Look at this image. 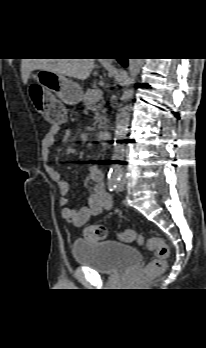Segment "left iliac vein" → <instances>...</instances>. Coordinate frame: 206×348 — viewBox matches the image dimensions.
<instances>
[{"label":"left iliac vein","mask_w":206,"mask_h":348,"mask_svg":"<svg viewBox=\"0 0 206 348\" xmlns=\"http://www.w3.org/2000/svg\"><path fill=\"white\" fill-rule=\"evenodd\" d=\"M125 186V178H122L118 183H117V190L122 191Z\"/></svg>","instance_id":"obj_1"}]
</instances>
